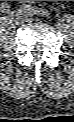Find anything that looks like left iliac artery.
<instances>
[{"label": "left iliac artery", "instance_id": "44dca946", "mask_svg": "<svg viewBox=\"0 0 74 122\" xmlns=\"http://www.w3.org/2000/svg\"><path fill=\"white\" fill-rule=\"evenodd\" d=\"M23 11L29 15H42V16H45L47 18H50L51 17V14L48 10L46 9H42V8H37V7H33L31 5H23ZM21 10V8H20Z\"/></svg>", "mask_w": 74, "mask_h": 122}]
</instances>
